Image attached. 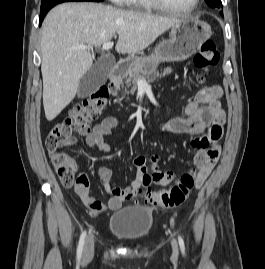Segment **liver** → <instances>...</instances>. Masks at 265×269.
<instances>
[{"label": "liver", "instance_id": "obj_1", "mask_svg": "<svg viewBox=\"0 0 265 269\" xmlns=\"http://www.w3.org/2000/svg\"><path fill=\"white\" fill-rule=\"evenodd\" d=\"M180 19L117 9L100 3H63L42 24L43 106L48 121L74 99L82 76L92 67L90 51L118 34L116 51L135 55Z\"/></svg>", "mask_w": 265, "mask_h": 269}]
</instances>
